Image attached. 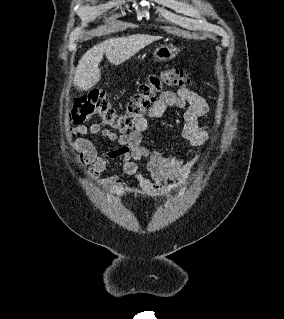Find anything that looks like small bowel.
<instances>
[{"instance_id": "1", "label": "small bowel", "mask_w": 284, "mask_h": 319, "mask_svg": "<svg viewBox=\"0 0 284 319\" xmlns=\"http://www.w3.org/2000/svg\"><path fill=\"white\" fill-rule=\"evenodd\" d=\"M169 107L185 110L182 137L194 147L205 146L208 133L199 126V119L209 112L206 99L188 88L164 92L151 108L149 117L160 118ZM147 129L148 121L145 118L136 122L134 130L123 135L107 130L99 124L89 127L81 125L70 130V136L74 139L71 148L76 151L80 166H90L89 177L98 185L113 187L120 193L128 191V183L118 176L101 179L106 166L119 160L123 173L134 177L143 194L149 197L168 196L188 178L194 164L185 165L176 156L150 151L143 142V134ZM88 133L107 138L119 146L99 154L92 141L76 138L77 135ZM141 167L149 173L150 178L142 174Z\"/></svg>"}]
</instances>
